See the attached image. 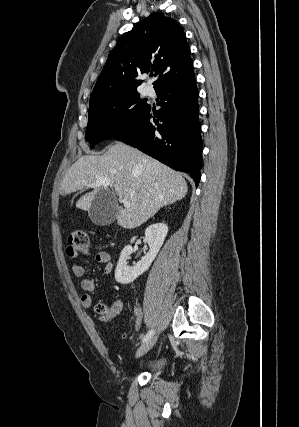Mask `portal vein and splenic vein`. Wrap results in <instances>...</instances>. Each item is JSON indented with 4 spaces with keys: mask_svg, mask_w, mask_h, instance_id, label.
Wrapping results in <instances>:
<instances>
[{
    "mask_svg": "<svg viewBox=\"0 0 299 427\" xmlns=\"http://www.w3.org/2000/svg\"><path fill=\"white\" fill-rule=\"evenodd\" d=\"M110 180L106 178H102L98 180L93 186H109ZM125 207H130V202L127 200L122 201Z\"/></svg>",
    "mask_w": 299,
    "mask_h": 427,
    "instance_id": "18ae733b",
    "label": "portal vein and splenic vein"
}]
</instances>
